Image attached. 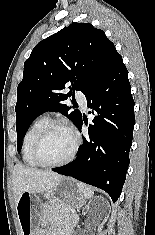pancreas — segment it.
<instances>
[{"label":"pancreas","mask_w":155,"mask_h":235,"mask_svg":"<svg viewBox=\"0 0 155 235\" xmlns=\"http://www.w3.org/2000/svg\"><path fill=\"white\" fill-rule=\"evenodd\" d=\"M58 211L60 212V214L66 219V220H69V221H72L74 216L73 214L70 213V210H67L63 207H60L58 209Z\"/></svg>","instance_id":"cf45deb5"}]
</instances>
